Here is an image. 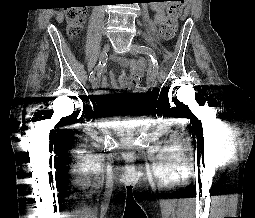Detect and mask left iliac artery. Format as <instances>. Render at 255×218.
<instances>
[{
    "label": "left iliac artery",
    "instance_id": "left-iliac-artery-1",
    "mask_svg": "<svg viewBox=\"0 0 255 218\" xmlns=\"http://www.w3.org/2000/svg\"><path fill=\"white\" fill-rule=\"evenodd\" d=\"M138 51H139V53L146 54L150 57L151 63H152V66H153V69H152V72H151V75H150V79L156 78V76L158 74V70H159V65H158L156 53L154 52V50L152 48L147 47V46H139Z\"/></svg>",
    "mask_w": 255,
    "mask_h": 218
}]
</instances>
